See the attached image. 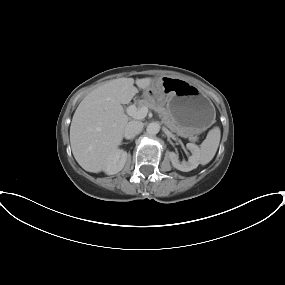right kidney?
Masks as SVG:
<instances>
[{
  "instance_id": "right-kidney-1",
  "label": "right kidney",
  "mask_w": 285,
  "mask_h": 285,
  "mask_svg": "<svg viewBox=\"0 0 285 285\" xmlns=\"http://www.w3.org/2000/svg\"><path fill=\"white\" fill-rule=\"evenodd\" d=\"M127 160V152L121 149H117L110 160L106 164L104 171L107 175H113L120 172Z\"/></svg>"
}]
</instances>
